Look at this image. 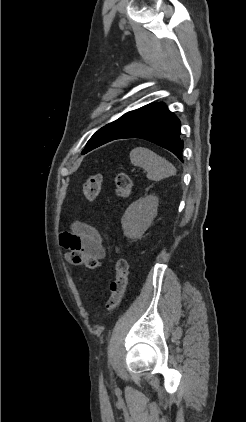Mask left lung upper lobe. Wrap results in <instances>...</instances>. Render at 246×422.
<instances>
[{"instance_id": "left-lung-upper-lobe-1", "label": "left lung upper lobe", "mask_w": 246, "mask_h": 422, "mask_svg": "<svg viewBox=\"0 0 246 422\" xmlns=\"http://www.w3.org/2000/svg\"><path fill=\"white\" fill-rule=\"evenodd\" d=\"M156 104L157 103H151L139 109L127 112L117 120L100 128L90 138L85 149L82 151V154H85L96 147L116 139L128 128H130L136 121L148 113Z\"/></svg>"}]
</instances>
